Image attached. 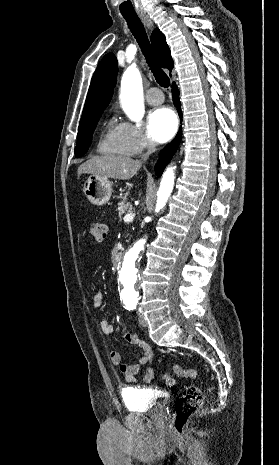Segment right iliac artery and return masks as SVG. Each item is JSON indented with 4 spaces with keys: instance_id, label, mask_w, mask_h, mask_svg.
<instances>
[{
    "instance_id": "82829eb1",
    "label": "right iliac artery",
    "mask_w": 279,
    "mask_h": 465,
    "mask_svg": "<svg viewBox=\"0 0 279 465\" xmlns=\"http://www.w3.org/2000/svg\"><path fill=\"white\" fill-rule=\"evenodd\" d=\"M127 309H128V310H133L134 308H133V307H129V308H127Z\"/></svg>"
}]
</instances>
